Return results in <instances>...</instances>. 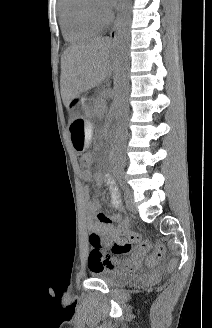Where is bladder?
<instances>
[{
  "instance_id": "1",
  "label": "bladder",
  "mask_w": 212,
  "mask_h": 328,
  "mask_svg": "<svg viewBox=\"0 0 212 328\" xmlns=\"http://www.w3.org/2000/svg\"><path fill=\"white\" fill-rule=\"evenodd\" d=\"M92 277L104 281L112 287L123 286L131 282L135 275L133 273L122 272L117 270H97L91 273Z\"/></svg>"
}]
</instances>
